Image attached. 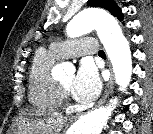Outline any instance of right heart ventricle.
<instances>
[{"instance_id":"obj_1","label":"right heart ventricle","mask_w":153,"mask_h":134,"mask_svg":"<svg viewBox=\"0 0 153 134\" xmlns=\"http://www.w3.org/2000/svg\"><path fill=\"white\" fill-rule=\"evenodd\" d=\"M51 50L39 49L29 70V99L35 106L58 109L63 103V95L58 82L51 76L50 69L56 60Z\"/></svg>"}]
</instances>
